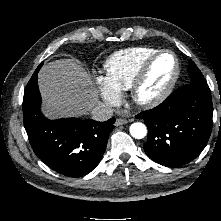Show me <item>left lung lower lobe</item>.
I'll list each match as a JSON object with an SVG mask.
<instances>
[{
	"label": "left lung lower lobe",
	"mask_w": 221,
	"mask_h": 221,
	"mask_svg": "<svg viewBox=\"0 0 221 221\" xmlns=\"http://www.w3.org/2000/svg\"><path fill=\"white\" fill-rule=\"evenodd\" d=\"M212 116L211 92L205 80L176 89L160 105L136 116L148 127L145 153L167 167L191 162L208 142Z\"/></svg>",
	"instance_id": "0a47b994"
}]
</instances>
